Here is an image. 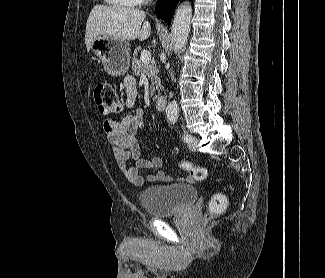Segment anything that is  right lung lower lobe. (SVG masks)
I'll return each instance as SVG.
<instances>
[{"label":"right lung lower lobe","mask_w":325,"mask_h":278,"mask_svg":"<svg viewBox=\"0 0 325 278\" xmlns=\"http://www.w3.org/2000/svg\"><path fill=\"white\" fill-rule=\"evenodd\" d=\"M179 0H158L156 4V15L164 20L167 24H171V18Z\"/></svg>","instance_id":"right-lung-lower-lobe-1"}]
</instances>
